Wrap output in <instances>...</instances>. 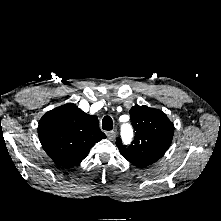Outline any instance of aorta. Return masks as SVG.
<instances>
[{"label":"aorta","instance_id":"aorta-1","mask_svg":"<svg viewBox=\"0 0 221 221\" xmlns=\"http://www.w3.org/2000/svg\"><path fill=\"white\" fill-rule=\"evenodd\" d=\"M122 138L125 142H129L132 138V127L129 124H124L121 127Z\"/></svg>","mask_w":221,"mask_h":221}]
</instances>
